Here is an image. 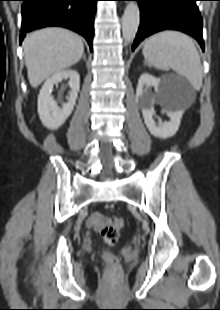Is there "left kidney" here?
<instances>
[{
	"label": "left kidney",
	"mask_w": 220,
	"mask_h": 310,
	"mask_svg": "<svg viewBox=\"0 0 220 310\" xmlns=\"http://www.w3.org/2000/svg\"><path fill=\"white\" fill-rule=\"evenodd\" d=\"M151 86L155 89V96L153 97L147 93V88ZM169 92L170 84L166 80L155 78L148 73H143L140 76L136 89V98L142 108L144 122L153 136L162 139L170 138L176 134L183 115V110L166 107V113L170 121L159 122L158 125L154 121V103L158 101L164 104Z\"/></svg>",
	"instance_id": "5707ae66"
}]
</instances>
